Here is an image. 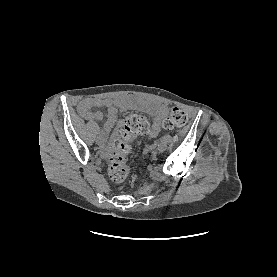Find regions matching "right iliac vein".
Here are the masks:
<instances>
[{"label": "right iliac vein", "mask_w": 277, "mask_h": 277, "mask_svg": "<svg viewBox=\"0 0 277 277\" xmlns=\"http://www.w3.org/2000/svg\"><path fill=\"white\" fill-rule=\"evenodd\" d=\"M105 138L104 137H98L97 139H96V143H97V145H99V146H103L104 144H105Z\"/></svg>", "instance_id": "right-iliac-vein-1"}]
</instances>
